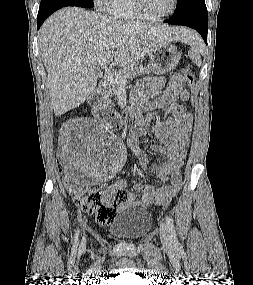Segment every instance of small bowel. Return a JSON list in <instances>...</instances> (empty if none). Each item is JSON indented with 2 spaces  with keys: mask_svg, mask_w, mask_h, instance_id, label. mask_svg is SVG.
<instances>
[{
  "mask_svg": "<svg viewBox=\"0 0 253 285\" xmlns=\"http://www.w3.org/2000/svg\"><path fill=\"white\" fill-rule=\"evenodd\" d=\"M157 91H162L158 98L152 102L145 101L147 96ZM189 98V92L184 89V78L178 74L173 75L168 81L161 77L143 79L132 89L129 109L132 117L139 120L144 113H147L148 120H151L157 116L160 109L168 108L172 118L159 121L148 129L145 128L143 121H139L137 132L131 135L129 146L140 166L143 169L150 168L151 172L166 185L156 189L152 185L136 183L134 187L138 195L128 193L124 207L146 208L152 204L164 206L178 193L181 187L180 170L186 156L193 122L192 116L184 108ZM111 113L114 114L112 125L120 126L118 118H121V113H116L115 109H112ZM143 133L152 134L159 140L160 144L153 145L152 150L164 157L161 163L151 166V159L138 149L137 138ZM67 150L69 151L68 147ZM65 158L68 159L67 156ZM113 187L125 189L126 182L119 180Z\"/></svg>",
  "mask_w": 253,
  "mask_h": 285,
  "instance_id": "1",
  "label": "small bowel"
}]
</instances>
